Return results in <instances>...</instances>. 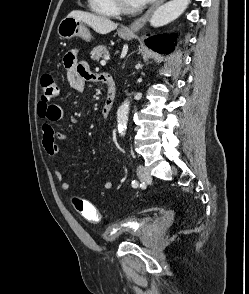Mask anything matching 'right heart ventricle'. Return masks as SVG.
I'll return each mask as SVG.
<instances>
[{
  "mask_svg": "<svg viewBox=\"0 0 249 294\" xmlns=\"http://www.w3.org/2000/svg\"><path fill=\"white\" fill-rule=\"evenodd\" d=\"M92 12L107 17H115L119 14L113 0H88Z\"/></svg>",
  "mask_w": 249,
  "mask_h": 294,
  "instance_id": "1",
  "label": "right heart ventricle"
}]
</instances>
